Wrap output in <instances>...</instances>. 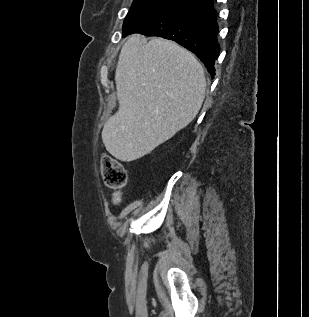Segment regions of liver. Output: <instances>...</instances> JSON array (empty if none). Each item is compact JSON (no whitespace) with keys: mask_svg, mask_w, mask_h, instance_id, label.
<instances>
[{"mask_svg":"<svg viewBox=\"0 0 309 317\" xmlns=\"http://www.w3.org/2000/svg\"><path fill=\"white\" fill-rule=\"evenodd\" d=\"M118 111L102 130L106 150L130 162L172 138L198 114L206 79L196 57L173 41L132 35L115 72Z\"/></svg>","mask_w":309,"mask_h":317,"instance_id":"1","label":"liver"}]
</instances>
